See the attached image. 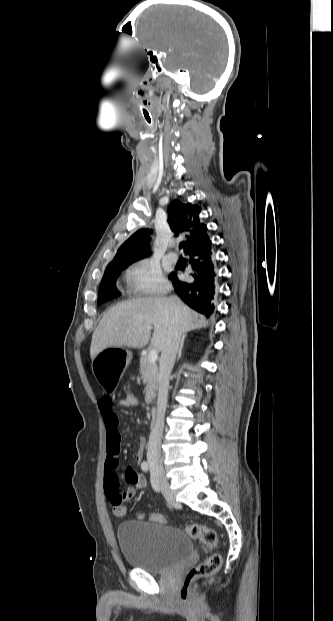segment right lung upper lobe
Segmentation results:
<instances>
[{
  "mask_svg": "<svg viewBox=\"0 0 333 621\" xmlns=\"http://www.w3.org/2000/svg\"><path fill=\"white\" fill-rule=\"evenodd\" d=\"M171 230L178 235L179 232H189L190 237L184 243L185 254L194 249H203L211 245L207 235V227L200 222V209L197 205L190 203L183 204L179 200H174L168 207ZM151 229H140L126 240L113 261L107 266H117L121 264H132L150 255V235Z\"/></svg>",
  "mask_w": 333,
  "mask_h": 621,
  "instance_id": "1",
  "label": "right lung upper lobe"
}]
</instances>
